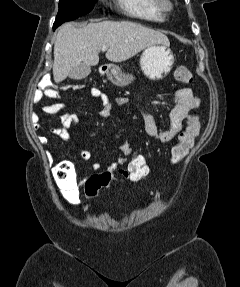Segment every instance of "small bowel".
<instances>
[{
  "label": "small bowel",
  "mask_w": 240,
  "mask_h": 287,
  "mask_svg": "<svg viewBox=\"0 0 240 287\" xmlns=\"http://www.w3.org/2000/svg\"><path fill=\"white\" fill-rule=\"evenodd\" d=\"M90 93L94 98L100 100L102 108L99 111V116L103 119L109 118L112 114L114 107L121 108L126 105L127 98L114 97L110 98L98 88H91ZM43 98L60 99V94L53 88H45L36 90L33 95V102L39 103ZM200 106V99L197 97L190 88H181L176 91L173 98V108L169 114L167 128L164 131H159L153 116L146 110L142 109L144 129L146 134L160 142L169 143L185 129V120L190 116L191 112L198 109ZM42 111L51 114L59 115L61 125L51 129L53 134L58 135L62 140L68 142L70 146L77 151L81 160L88 161L92 158V154L88 150H79L76 146L70 142L69 130L75 128L78 124V117L75 114H71L67 111V108L62 103L43 105ZM34 122H38L39 116L37 114L32 115ZM40 141L43 144L47 143L45 137H41ZM132 152V148L126 141H123L120 146V154L117 159L107 166L103 172L113 173L117 171L120 175H125V166L127 159ZM92 170L97 171L101 169L99 162H94L91 165ZM68 203L75 205L78 203L79 192L74 189L71 193L64 194Z\"/></svg>",
  "instance_id": "obj_1"
}]
</instances>
